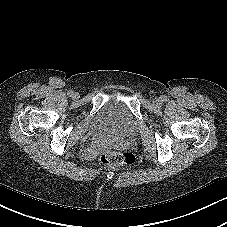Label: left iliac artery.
<instances>
[{
  "mask_svg": "<svg viewBox=\"0 0 227 227\" xmlns=\"http://www.w3.org/2000/svg\"><path fill=\"white\" fill-rule=\"evenodd\" d=\"M161 100H162V101H166L167 99H166L165 97H162Z\"/></svg>",
  "mask_w": 227,
  "mask_h": 227,
  "instance_id": "obj_1",
  "label": "left iliac artery"
}]
</instances>
